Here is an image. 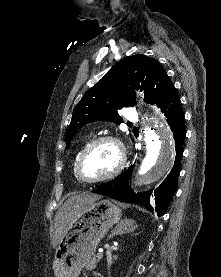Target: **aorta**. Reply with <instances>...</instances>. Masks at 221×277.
<instances>
[{
    "label": "aorta",
    "mask_w": 221,
    "mask_h": 277,
    "mask_svg": "<svg viewBox=\"0 0 221 277\" xmlns=\"http://www.w3.org/2000/svg\"><path fill=\"white\" fill-rule=\"evenodd\" d=\"M146 155L138 171L137 186L151 184L163 177L174 162V142L171 130L156 115L144 128Z\"/></svg>",
    "instance_id": "obj_1"
}]
</instances>
